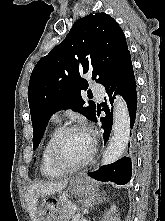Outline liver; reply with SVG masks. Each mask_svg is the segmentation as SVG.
I'll list each match as a JSON object with an SVG mask.
<instances>
[{"label":"liver","mask_w":165,"mask_h":221,"mask_svg":"<svg viewBox=\"0 0 165 221\" xmlns=\"http://www.w3.org/2000/svg\"><path fill=\"white\" fill-rule=\"evenodd\" d=\"M68 184V180L58 182H37L28 187L26 191V203L31 219L37 213L38 198L62 191Z\"/></svg>","instance_id":"liver-1"}]
</instances>
